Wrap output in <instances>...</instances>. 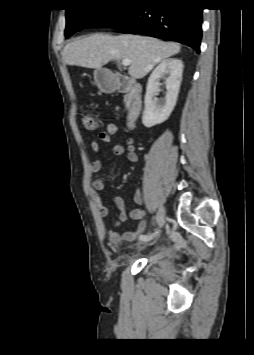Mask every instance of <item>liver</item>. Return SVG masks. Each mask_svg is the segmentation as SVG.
Returning a JSON list of instances; mask_svg holds the SVG:
<instances>
[{
    "label": "liver",
    "instance_id": "6515ba94",
    "mask_svg": "<svg viewBox=\"0 0 254 355\" xmlns=\"http://www.w3.org/2000/svg\"><path fill=\"white\" fill-rule=\"evenodd\" d=\"M180 49L178 43L152 37L96 33L68 43L62 51V58L67 65L93 69H101L113 59H130L129 75L141 79L156 64L177 54Z\"/></svg>",
    "mask_w": 254,
    "mask_h": 355
}]
</instances>
